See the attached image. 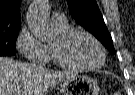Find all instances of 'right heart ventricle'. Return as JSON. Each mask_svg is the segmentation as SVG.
<instances>
[{
	"instance_id": "obj_1",
	"label": "right heart ventricle",
	"mask_w": 135,
	"mask_h": 95,
	"mask_svg": "<svg viewBox=\"0 0 135 95\" xmlns=\"http://www.w3.org/2000/svg\"><path fill=\"white\" fill-rule=\"evenodd\" d=\"M54 27L60 34H63L65 32H67V31H69L68 24L66 26H63V27H58V26H54ZM49 55H51V50H49Z\"/></svg>"
}]
</instances>
